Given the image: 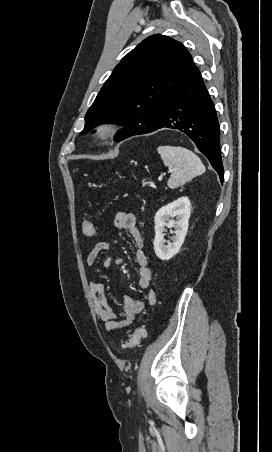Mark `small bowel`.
<instances>
[{"label": "small bowel", "instance_id": "1", "mask_svg": "<svg viewBox=\"0 0 272 452\" xmlns=\"http://www.w3.org/2000/svg\"><path fill=\"white\" fill-rule=\"evenodd\" d=\"M136 223V216L132 212L119 211L114 219L115 227L126 231L134 242L135 259L138 266V286L141 289H148L152 279V270L149 267L148 258L144 250V241ZM110 247L111 244L108 241L97 242L87 254L86 264L88 266L94 265L100 253L108 251ZM117 262L118 259L106 257L102 260V265L104 267H110L113 263ZM88 286L94 301L96 314L104 322L107 330L129 326L137 314L141 313L147 305L154 304L156 300L155 293L152 291L148 293L146 302L126 296L123 309L118 316L105 298L103 284L95 280H89Z\"/></svg>", "mask_w": 272, "mask_h": 452}]
</instances>
